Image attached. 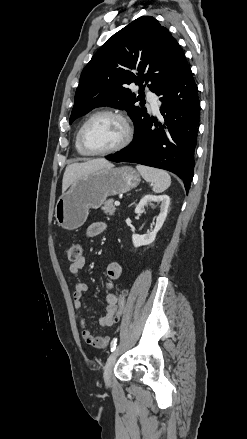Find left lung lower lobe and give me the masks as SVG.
Wrapping results in <instances>:
<instances>
[{
	"label": "left lung lower lobe",
	"mask_w": 247,
	"mask_h": 439,
	"mask_svg": "<svg viewBox=\"0 0 247 439\" xmlns=\"http://www.w3.org/2000/svg\"><path fill=\"white\" fill-rule=\"evenodd\" d=\"M197 93V85L186 62L156 93L160 97L164 123L149 117L135 131L134 141L128 147L106 159L168 170L184 181L188 191L193 179L200 112ZM153 124L156 129H152Z\"/></svg>",
	"instance_id": "1"
}]
</instances>
